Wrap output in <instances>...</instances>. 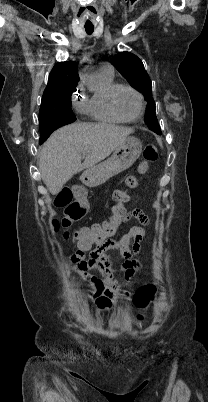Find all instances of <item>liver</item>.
<instances>
[{"label":"liver","instance_id":"6515ba94","mask_svg":"<svg viewBox=\"0 0 208 402\" xmlns=\"http://www.w3.org/2000/svg\"><path fill=\"white\" fill-rule=\"evenodd\" d=\"M132 132L112 124H70L54 132L39 152V172L50 194H59L74 174L108 158Z\"/></svg>","mask_w":208,"mask_h":402}]
</instances>
